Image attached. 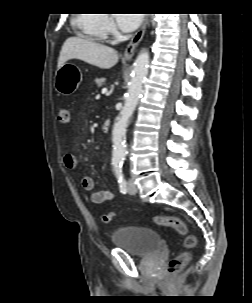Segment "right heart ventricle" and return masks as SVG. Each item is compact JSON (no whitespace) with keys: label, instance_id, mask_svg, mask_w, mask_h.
I'll return each mask as SVG.
<instances>
[{"label":"right heart ventricle","instance_id":"1","mask_svg":"<svg viewBox=\"0 0 252 303\" xmlns=\"http://www.w3.org/2000/svg\"><path fill=\"white\" fill-rule=\"evenodd\" d=\"M103 16L101 14H79L74 18V23L83 34L103 39L106 35L101 27Z\"/></svg>","mask_w":252,"mask_h":303}]
</instances>
